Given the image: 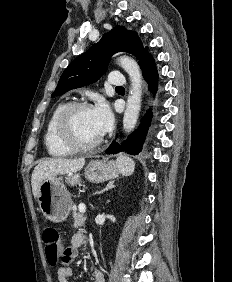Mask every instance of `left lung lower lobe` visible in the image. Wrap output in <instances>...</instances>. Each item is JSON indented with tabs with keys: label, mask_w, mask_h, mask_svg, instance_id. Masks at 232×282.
<instances>
[{
	"label": "left lung lower lobe",
	"mask_w": 232,
	"mask_h": 282,
	"mask_svg": "<svg viewBox=\"0 0 232 282\" xmlns=\"http://www.w3.org/2000/svg\"><path fill=\"white\" fill-rule=\"evenodd\" d=\"M138 64L140 65V68L143 72L144 79L149 85V90L155 93L158 86V73L155 67V61L153 57L148 53L147 47L144 49L143 54L138 61ZM150 119L151 112L148 111L143 119L140 130L131 134L127 138V140L121 144V146L116 142H112V144L106 150V154H116L123 151L128 154L137 155L139 152H141L146 132L149 127Z\"/></svg>",
	"instance_id": "obj_1"
}]
</instances>
